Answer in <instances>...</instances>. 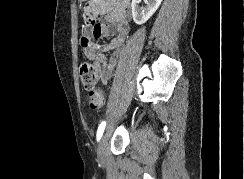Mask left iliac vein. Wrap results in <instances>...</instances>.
I'll return each instance as SVG.
<instances>
[{
    "label": "left iliac vein",
    "instance_id": "obj_1",
    "mask_svg": "<svg viewBox=\"0 0 244 179\" xmlns=\"http://www.w3.org/2000/svg\"><path fill=\"white\" fill-rule=\"evenodd\" d=\"M109 141V131L106 130L97 146V154L100 161L106 160V148Z\"/></svg>",
    "mask_w": 244,
    "mask_h": 179
}]
</instances>
